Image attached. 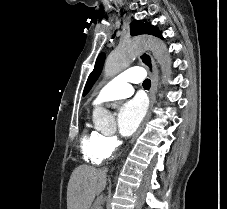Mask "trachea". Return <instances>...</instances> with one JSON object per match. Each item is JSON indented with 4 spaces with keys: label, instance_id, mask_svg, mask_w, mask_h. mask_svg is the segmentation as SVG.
<instances>
[{
    "label": "trachea",
    "instance_id": "1",
    "mask_svg": "<svg viewBox=\"0 0 227 209\" xmlns=\"http://www.w3.org/2000/svg\"><path fill=\"white\" fill-rule=\"evenodd\" d=\"M151 82L149 79L144 80L143 87L144 89L148 90L150 88Z\"/></svg>",
    "mask_w": 227,
    "mask_h": 209
}]
</instances>
